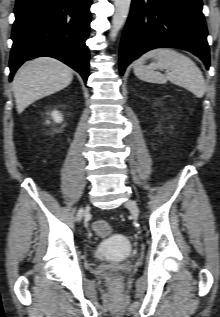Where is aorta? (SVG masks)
Returning <instances> with one entry per match:
<instances>
[{"instance_id":"762f6f07","label":"aorta","mask_w":220,"mask_h":317,"mask_svg":"<svg viewBox=\"0 0 220 317\" xmlns=\"http://www.w3.org/2000/svg\"><path fill=\"white\" fill-rule=\"evenodd\" d=\"M115 5V13L112 18V30L110 38L117 36L120 29L123 27L130 10L131 0H113Z\"/></svg>"}]
</instances>
